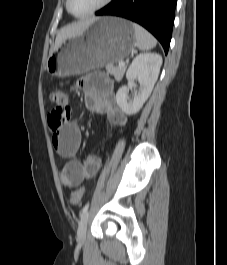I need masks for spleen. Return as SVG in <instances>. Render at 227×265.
<instances>
[{
  "label": "spleen",
  "mask_w": 227,
  "mask_h": 265,
  "mask_svg": "<svg viewBox=\"0 0 227 265\" xmlns=\"http://www.w3.org/2000/svg\"><path fill=\"white\" fill-rule=\"evenodd\" d=\"M132 25L136 37V44L140 50H150L156 46V39L148 31L136 23Z\"/></svg>",
  "instance_id": "spleen-1"
}]
</instances>
